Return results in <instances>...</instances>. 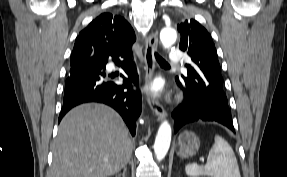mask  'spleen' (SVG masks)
Segmentation results:
<instances>
[{"mask_svg":"<svg viewBox=\"0 0 287 177\" xmlns=\"http://www.w3.org/2000/svg\"><path fill=\"white\" fill-rule=\"evenodd\" d=\"M205 166L188 164L185 172L190 177H241L235 153L228 142L216 135Z\"/></svg>","mask_w":287,"mask_h":177,"instance_id":"spleen-1","label":"spleen"}]
</instances>
